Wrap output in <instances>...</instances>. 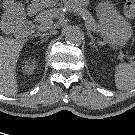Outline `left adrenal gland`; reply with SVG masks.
Returning <instances> with one entry per match:
<instances>
[{
	"mask_svg": "<svg viewBox=\"0 0 135 135\" xmlns=\"http://www.w3.org/2000/svg\"><path fill=\"white\" fill-rule=\"evenodd\" d=\"M90 39H91V41H90V45L93 47V48H97V46L95 45V40H94V38H93V36L92 35H90Z\"/></svg>",
	"mask_w": 135,
	"mask_h": 135,
	"instance_id": "1",
	"label": "left adrenal gland"
}]
</instances>
